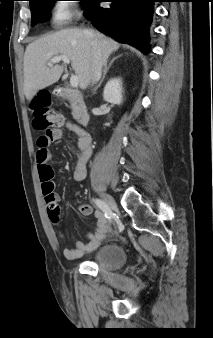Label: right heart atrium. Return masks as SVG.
I'll list each match as a JSON object with an SVG mask.
<instances>
[{
	"label": "right heart atrium",
	"mask_w": 213,
	"mask_h": 338,
	"mask_svg": "<svg viewBox=\"0 0 213 338\" xmlns=\"http://www.w3.org/2000/svg\"><path fill=\"white\" fill-rule=\"evenodd\" d=\"M71 8L67 5L58 6L54 11V19L56 22H63L71 17Z\"/></svg>",
	"instance_id": "1"
}]
</instances>
